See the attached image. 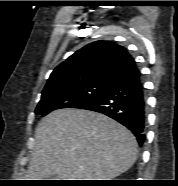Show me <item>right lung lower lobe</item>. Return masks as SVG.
<instances>
[{
    "label": "right lung lower lobe",
    "instance_id": "right-lung-lower-lobe-1",
    "mask_svg": "<svg viewBox=\"0 0 178 186\" xmlns=\"http://www.w3.org/2000/svg\"><path fill=\"white\" fill-rule=\"evenodd\" d=\"M105 114L126 126L140 145L145 139L146 97L140 71L112 82L103 92L78 107Z\"/></svg>",
    "mask_w": 178,
    "mask_h": 186
}]
</instances>
